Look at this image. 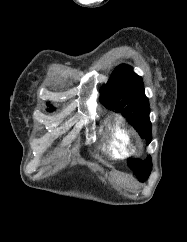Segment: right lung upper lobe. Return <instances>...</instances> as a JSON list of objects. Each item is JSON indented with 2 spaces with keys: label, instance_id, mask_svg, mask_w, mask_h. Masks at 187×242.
Returning <instances> with one entry per match:
<instances>
[{
  "label": "right lung upper lobe",
  "instance_id": "obj_1",
  "mask_svg": "<svg viewBox=\"0 0 187 242\" xmlns=\"http://www.w3.org/2000/svg\"><path fill=\"white\" fill-rule=\"evenodd\" d=\"M48 107H49V108L47 109L48 111H53V110H54V108L52 107L51 104H48Z\"/></svg>",
  "mask_w": 187,
  "mask_h": 242
}]
</instances>
